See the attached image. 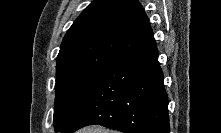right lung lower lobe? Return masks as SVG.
Masks as SVG:
<instances>
[{
  "mask_svg": "<svg viewBox=\"0 0 221 133\" xmlns=\"http://www.w3.org/2000/svg\"><path fill=\"white\" fill-rule=\"evenodd\" d=\"M102 125L125 133H169L168 96L157 47L106 69L65 133Z\"/></svg>",
  "mask_w": 221,
  "mask_h": 133,
  "instance_id": "1",
  "label": "right lung lower lobe"
}]
</instances>
